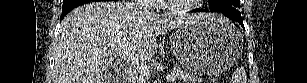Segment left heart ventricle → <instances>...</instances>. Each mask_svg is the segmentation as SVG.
<instances>
[{
  "instance_id": "left-heart-ventricle-1",
  "label": "left heart ventricle",
  "mask_w": 307,
  "mask_h": 83,
  "mask_svg": "<svg viewBox=\"0 0 307 83\" xmlns=\"http://www.w3.org/2000/svg\"><path fill=\"white\" fill-rule=\"evenodd\" d=\"M169 2L172 4H186L193 2V0H170Z\"/></svg>"
}]
</instances>
